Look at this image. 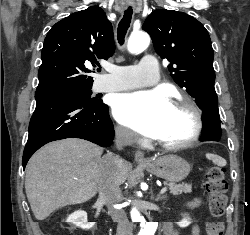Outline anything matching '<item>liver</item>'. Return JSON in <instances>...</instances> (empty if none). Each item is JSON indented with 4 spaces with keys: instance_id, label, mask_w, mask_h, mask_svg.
I'll use <instances>...</instances> for the list:
<instances>
[{
    "instance_id": "liver-1",
    "label": "liver",
    "mask_w": 250,
    "mask_h": 235,
    "mask_svg": "<svg viewBox=\"0 0 250 235\" xmlns=\"http://www.w3.org/2000/svg\"><path fill=\"white\" fill-rule=\"evenodd\" d=\"M103 148L77 138L52 142L29 160L25 190L34 216L45 220L55 210L79 204L98 192V170L104 165ZM130 165H116V181L123 184Z\"/></svg>"
}]
</instances>
